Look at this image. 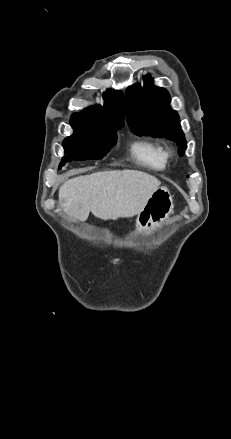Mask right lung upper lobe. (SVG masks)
<instances>
[{"instance_id":"right-lung-upper-lobe-1","label":"right lung upper lobe","mask_w":231,"mask_h":439,"mask_svg":"<svg viewBox=\"0 0 231 439\" xmlns=\"http://www.w3.org/2000/svg\"><path fill=\"white\" fill-rule=\"evenodd\" d=\"M112 95L115 96L112 97ZM104 98L106 102L103 107L97 105L85 108L80 113H74L71 119L87 120L106 127H123L124 98L122 92L105 93Z\"/></svg>"}]
</instances>
